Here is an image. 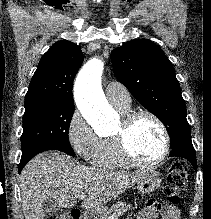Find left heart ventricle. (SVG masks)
Instances as JSON below:
<instances>
[{
    "instance_id": "b2bd125f",
    "label": "left heart ventricle",
    "mask_w": 211,
    "mask_h": 219,
    "mask_svg": "<svg viewBox=\"0 0 211 219\" xmlns=\"http://www.w3.org/2000/svg\"><path fill=\"white\" fill-rule=\"evenodd\" d=\"M128 143L131 152L142 161L157 159L163 150L161 130L147 116H142L135 121L128 136Z\"/></svg>"
}]
</instances>
